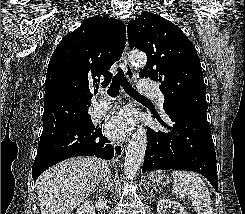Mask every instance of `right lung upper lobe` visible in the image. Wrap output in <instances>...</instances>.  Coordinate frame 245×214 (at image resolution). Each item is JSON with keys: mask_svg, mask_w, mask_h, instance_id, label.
<instances>
[{"mask_svg": "<svg viewBox=\"0 0 245 214\" xmlns=\"http://www.w3.org/2000/svg\"><path fill=\"white\" fill-rule=\"evenodd\" d=\"M126 28L108 16L86 19L66 35L51 56L45 81L43 126L76 118L90 106L97 82L108 85V71L125 48Z\"/></svg>", "mask_w": 245, "mask_h": 214, "instance_id": "1", "label": "right lung upper lobe"}]
</instances>
